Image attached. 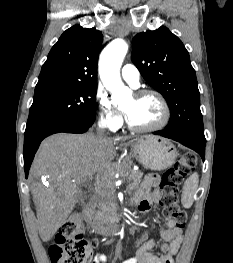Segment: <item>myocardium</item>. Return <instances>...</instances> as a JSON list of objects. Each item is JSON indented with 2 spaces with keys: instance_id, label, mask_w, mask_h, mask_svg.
<instances>
[{
  "instance_id": "obj_1",
  "label": "myocardium",
  "mask_w": 233,
  "mask_h": 263,
  "mask_svg": "<svg viewBox=\"0 0 233 263\" xmlns=\"http://www.w3.org/2000/svg\"><path fill=\"white\" fill-rule=\"evenodd\" d=\"M134 96L138 99L144 98L147 96H152L156 98L162 107L163 116H162V119L158 123L152 126H147V127L134 126L131 123H129V121L127 120L126 124L129 130L136 132V133H150V132L158 131L168 125L170 118H171V110H170V107L166 99L162 96V94H160L157 91L147 89V90H141V91L136 92Z\"/></svg>"
}]
</instances>
